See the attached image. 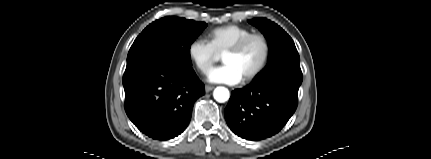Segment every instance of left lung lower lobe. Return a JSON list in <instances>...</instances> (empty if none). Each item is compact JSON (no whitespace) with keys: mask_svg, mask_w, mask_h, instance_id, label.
I'll return each mask as SVG.
<instances>
[{"mask_svg":"<svg viewBox=\"0 0 431 159\" xmlns=\"http://www.w3.org/2000/svg\"><path fill=\"white\" fill-rule=\"evenodd\" d=\"M302 74L278 72L232 91L224 111L230 129L259 141L278 133L297 108Z\"/></svg>","mask_w":431,"mask_h":159,"instance_id":"left-lung-lower-lobe-1","label":"left lung lower lobe"}]
</instances>
